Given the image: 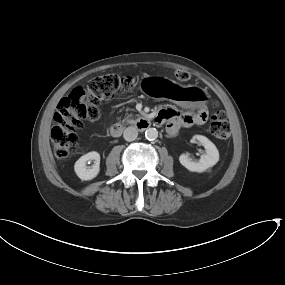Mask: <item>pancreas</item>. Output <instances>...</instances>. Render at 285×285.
<instances>
[{
	"mask_svg": "<svg viewBox=\"0 0 285 285\" xmlns=\"http://www.w3.org/2000/svg\"><path fill=\"white\" fill-rule=\"evenodd\" d=\"M131 117L132 115H127L124 121H126L127 123H131V124L136 123V120L132 119Z\"/></svg>",
	"mask_w": 285,
	"mask_h": 285,
	"instance_id": "cf45deb5",
	"label": "pancreas"
}]
</instances>
